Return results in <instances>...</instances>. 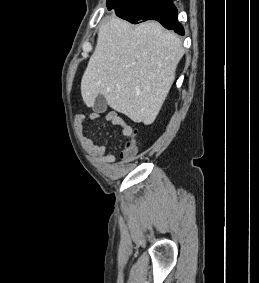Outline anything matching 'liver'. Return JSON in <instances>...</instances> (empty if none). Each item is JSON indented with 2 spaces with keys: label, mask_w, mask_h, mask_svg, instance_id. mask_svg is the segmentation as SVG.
<instances>
[{
  "label": "liver",
  "mask_w": 259,
  "mask_h": 283,
  "mask_svg": "<svg viewBox=\"0 0 259 283\" xmlns=\"http://www.w3.org/2000/svg\"><path fill=\"white\" fill-rule=\"evenodd\" d=\"M184 53L181 39L155 21L133 26L112 16L100 25L97 44L81 80L87 107L103 95L136 123L156 119Z\"/></svg>",
  "instance_id": "1"
}]
</instances>
